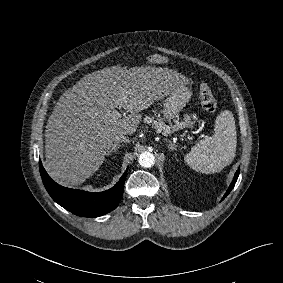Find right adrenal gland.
<instances>
[{
  "label": "right adrenal gland",
  "instance_id": "right-adrenal-gland-1",
  "mask_svg": "<svg viewBox=\"0 0 283 283\" xmlns=\"http://www.w3.org/2000/svg\"><path fill=\"white\" fill-rule=\"evenodd\" d=\"M119 148H120V143L116 142L115 144H113L112 148L110 149L109 154L111 152H117L119 150Z\"/></svg>",
  "mask_w": 283,
  "mask_h": 283
}]
</instances>
